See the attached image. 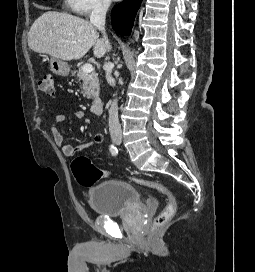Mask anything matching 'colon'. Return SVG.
I'll return each instance as SVG.
<instances>
[{
  "label": "colon",
  "instance_id": "5ec220e1",
  "mask_svg": "<svg viewBox=\"0 0 255 272\" xmlns=\"http://www.w3.org/2000/svg\"><path fill=\"white\" fill-rule=\"evenodd\" d=\"M39 89L47 96L54 94V76L44 75L39 82ZM73 175L77 182L85 187L92 186L99 179L107 175L106 171L97 168L89 158L79 156L71 164ZM135 183L161 192L166 197L165 206L157 215L154 221V228H161L167 225L175 216L177 211V201L173 191L164 183L159 181L128 176Z\"/></svg>",
  "mask_w": 255,
  "mask_h": 272
}]
</instances>
